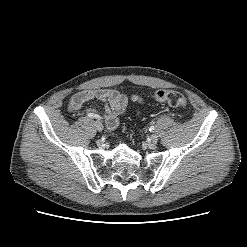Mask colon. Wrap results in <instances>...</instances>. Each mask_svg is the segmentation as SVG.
Returning <instances> with one entry per match:
<instances>
[{
  "instance_id": "1",
  "label": "colon",
  "mask_w": 247,
  "mask_h": 247,
  "mask_svg": "<svg viewBox=\"0 0 247 247\" xmlns=\"http://www.w3.org/2000/svg\"><path fill=\"white\" fill-rule=\"evenodd\" d=\"M153 97L157 102L167 104L173 108H185L187 106L186 98L178 91L158 90Z\"/></svg>"
}]
</instances>
